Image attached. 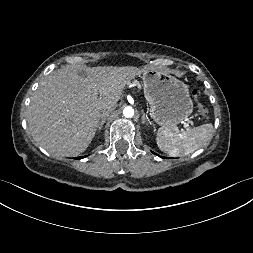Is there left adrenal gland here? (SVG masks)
I'll return each mask as SVG.
<instances>
[{
    "mask_svg": "<svg viewBox=\"0 0 253 253\" xmlns=\"http://www.w3.org/2000/svg\"><path fill=\"white\" fill-rule=\"evenodd\" d=\"M141 112H142V124H148V123H150L149 121H148V119L145 117V113H144V110H141Z\"/></svg>",
    "mask_w": 253,
    "mask_h": 253,
    "instance_id": "left-adrenal-gland-1",
    "label": "left adrenal gland"
}]
</instances>
